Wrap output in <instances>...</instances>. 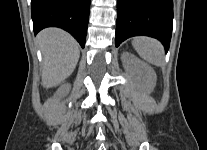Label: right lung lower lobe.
I'll list each match as a JSON object with an SVG mask.
<instances>
[{"label": "right lung lower lobe", "instance_id": "right-lung-lower-lobe-1", "mask_svg": "<svg viewBox=\"0 0 207 150\" xmlns=\"http://www.w3.org/2000/svg\"><path fill=\"white\" fill-rule=\"evenodd\" d=\"M89 9L90 0H31L34 33L46 27H59L84 48Z\"/></svg>", "mask_w": 207, "mask_h": 150}]
</instances>
